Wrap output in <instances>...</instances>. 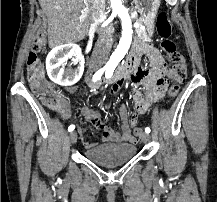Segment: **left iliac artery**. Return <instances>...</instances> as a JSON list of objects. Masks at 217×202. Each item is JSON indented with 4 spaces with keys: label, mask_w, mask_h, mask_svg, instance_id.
<instances>
[{
    "label": "left iliac artery",
    "mask_w": 217,
    "mask_h": 202,
    "mask_svg": "<svg viewBox=\"0 0 217 202\" xmlns=\"http://www.w3.org/2000/svg\"><path fill=\"white\" fill-rule=\"evenodd\" d=\"M107 73H108V70H107ZM150 131H151V130H150L149 127H146V128H145V132H146V133H150Z\"/></svg>",
    "instance_id": "obj_1"
}]
</instances>
